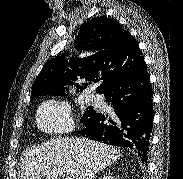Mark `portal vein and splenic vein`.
Instances as JSON below:
<instances>
[{"label": "portal vein and splenic vein", "mask_w": 183, "mask_h": 179, "mask_svg": "<svg viewBox=\"0 0 183 179\" xmlns=\"http://www.w3.org/2000/svg\"><path fill=\"white\" fill-rule=\"evenodd\" d=\"M66 179H71V177L67 176Z\"/></svg>", "instance_id": "obj_1"}]
</instances>
